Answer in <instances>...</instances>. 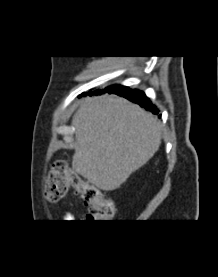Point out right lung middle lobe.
Masks as SVG:
<instances>
[{
	"mask_svg": "<svg viewBox=\"0 0 218 277\" xmlns=\"http://www.w3.org/2000/svg\"><path fill=\"white\" fill-rule=\"evenodd\" d=\"M125 87L123 86H111V87H108L105 91H101V92H108V91H112V90H119V89H123ZM101 92L99 94H101Z\"/></svg>",
	"mask_w": 218,
	"mask_h": 277,
	"instance_id": "right-lung-middle-lobe-1",
	"label": "right lung middle lobe"
}]
</instances>
